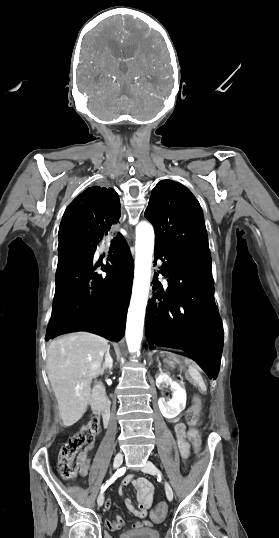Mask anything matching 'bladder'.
Segmentation results:
<instances>
[{"mask_svg":"<svg viewBox=\"0 0 279 538\" xmlns=\"http://www.w3.org/2000/svg\"><path fill=\"white\" fill-rule=\"evenodd\" d=\"M119 538H159L158 532H122Z\"/></svg>","mask_w":279,"mask_h":538,"instance_id":"1","label":"bladder"}]
</instances>
